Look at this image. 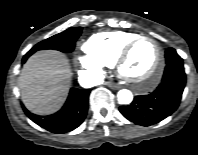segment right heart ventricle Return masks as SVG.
Instances as JSON below:
<instances>
[{
    "mask_svg": "<svg viewBox=\"0 0 198 155\" xmlns=\"http://www.w3.org/2000/svg\"><path fill=\"white\" fill-rule=\"evenodd\" d=\"M137 36L139 34L129 31L96 33L85 41L83 50L88 56L99 61L105 67H111L124 45Z\"/></svg>",
    "mask_w": 198,
    "mask_h": 155,
    "instance_id": "right-heart-ventricle-1",
    "label": "right heart ventricle"
}]
</instances>
